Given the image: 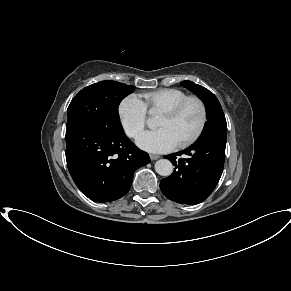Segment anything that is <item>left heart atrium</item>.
<instances>
[{
    "label": "left heart atrium",
    "instance_id": "obj_1",
    "mask_svg": "<svg viewBox=\"0 0 291 291\" xmlns=\"http://www.w3.org/2000/svg\"><path fill=\"white\" fill-rule=\"evenodd\" d=\"M137 144L143 150L152 153H163L177 146L176 140L165 128L147 131L137 139Z\"/></svg>",
    "mask_w": 291,
    "mask_h": 291
}]
</instances>
